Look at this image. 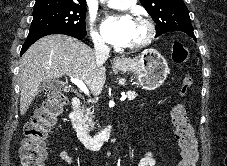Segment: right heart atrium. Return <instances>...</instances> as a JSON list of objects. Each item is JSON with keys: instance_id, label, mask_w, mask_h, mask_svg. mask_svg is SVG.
Returning a JSON list of instances; mask_svg holds the SVG:
<instances>
[{"instance_id": "obj_1", "label": "right heart atrium", "mask_w": 227, "mask_h": 166, "mask_svg": "<svg viewBox=\"0 0 227 166\" xmlns=\"http://www.w3.org/2000/svg\"><path fill=\"white\" fill-rule=\"evenodd\" d=\"M89 29H90L91 39H92L94 45L98 46V47L106 46L107 43H106L104 37L99 33V31L95 27V24L93 21L89 22Z\"/></svg>"}]
</instances>
